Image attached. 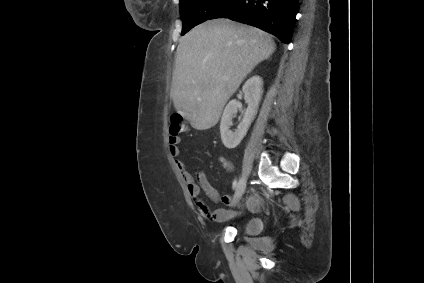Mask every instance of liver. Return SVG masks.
I'll return each mask as SVG.
<instances>
[{
  "mask_svg": "<svg viewBox=\"0 0 424 283\" xmlns=\"http://www.w3.org/2000/svg\"><path fill=\"white\" fill-rule=\"evenodd\" d=\"M272 36L229 19L206 21L179 40L171 98L196 130L217 124L244 78L275 51Z\"/></svg>",
  "mask_w": 424,
  "mask_h": 283,
  "instance_id": "6515ba94",
  "label": "liver"
}]
</instances>
